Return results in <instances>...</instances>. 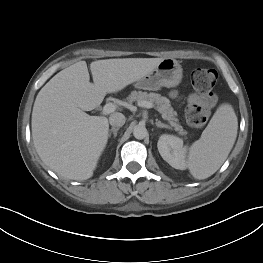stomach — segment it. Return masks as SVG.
I'll use <instances>...</instances> for the list:
<instances>
[{
	"instance_id": "1",
	"label": "stomach",
	"mask_w": 263,
	"mask_h": 263,
	"mask_svg": "<svg viewBox=\"0 0 263 263\" xmlns=\"http://www.w3.org/2000/svg\"><path fill=\"white\" fill-rule=\"evenodd\" d=\"M183 70L177 60L164 58L150 73L136 81L135 87L143 90H159L179 85Z\"/></svg>"
}]
</instances>
